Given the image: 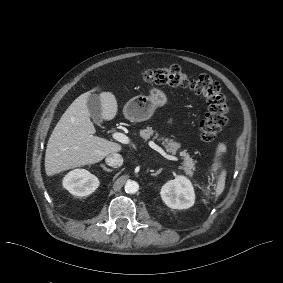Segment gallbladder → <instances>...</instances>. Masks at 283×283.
<instances>
[{
    "instance_id": "1",
    "label": "gallbladder",
    "mask_w": 283,
    "mask_h": 283,
    "mask_svg": "<svg viewBox=\"0 0 283 283\" xmlns=\"http://www.w3.org/2000/svg\"><path fill=\"white\" fill-rule=\"evenodd\" d=\"M87 107L90 113V117L95 123H101V101L97 94H91L88 97Z\"/></svg>"
}]
</instances>
